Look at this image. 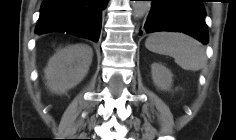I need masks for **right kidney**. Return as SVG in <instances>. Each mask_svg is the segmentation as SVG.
Returning <instances> with one entry per match:
<instances>
[{
    "instance_id": "right-kidney-1",
    "label": "right kidney",
    "mask_w": 236,
    "mask_h": 140,
    "mask_svg": "<svg viewBox=\"0 0 236 140\" xmlns=\"http://www.w3.org/2000/svg\"><path fill=\"white\" fill-rule=\"evenodd\" d=\"M92 56V49L84 44L70 45L58 51L44 70L50 91L65 93L77 86L87 75Z\"/></svg>"
}]
</instances>
